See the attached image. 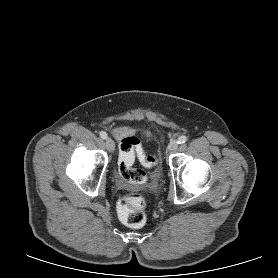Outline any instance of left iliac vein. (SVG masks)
<instances>
[{
    "instance_id": "left-iliac-vein-1",
    "label": "left iliac vein",
    "mask_w": 278,
    "mask_h": 278,
    "mask_svg": "<svg viewBox=\"0 0 278 278\" xmlns=\"http://www.w3.org/2000/svg\"><path fill=\"white\" fill-rule=\"evenodd\" d=\"M178 148V142L176 140H173L170 142L168 149L170 152L175 151Z\"/></svg>"
}]
</instances>
